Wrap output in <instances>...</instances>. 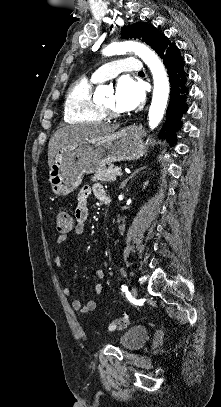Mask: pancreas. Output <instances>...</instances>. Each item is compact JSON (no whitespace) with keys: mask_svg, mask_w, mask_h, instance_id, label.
<instances>
[{"mask_svg":"<svg viewBox=\"0 0 221 407\" xmlns=\"http://www.w3.org/2000/svg\"><path fill=\"white\" fill-rule=\"evenodd\" d=\"M120 170L121 168L115 167L113 165H110L107 168H101L94 173V175L91 178V181L93 182L101 181L103 183L113 182L116 180L117 176L116 172Z\"/></svg>","mask_w":221,"mask_h":407,"instance_id":"pancreas-1","label":"pancreas"}]
</instances>
